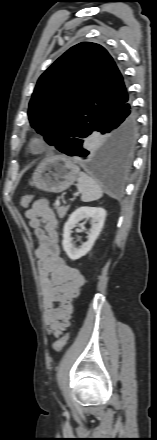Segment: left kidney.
I'll use <instances>...</instances> for the list:
<instances>
[{"mask_svg":"<svg viewBox=\"0 0 157 440\" xmlns=\"http://www.w3.org/2000/svg\"><path fill=\"white\" fill-rule=\"evenodd\" d=\"M106 217V211L99 207H80L76 209L64 225L62 246L71 260H77L85 256L93 247L99 236ZM83 219H91V229L88 232V240L80 248L72 244L71 230ZM83 228V225H81Z\"/></svg>","mask_w":157,"mask_h":440,"instance_id":"5707ae66","label":"left kidney"}]
</instances>
